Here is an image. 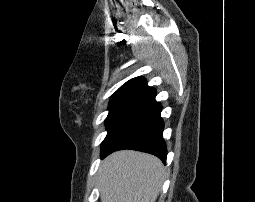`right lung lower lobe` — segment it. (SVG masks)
Here are the masks:
<instances>
[{
  "instance_id": "right-lung-lower-lobe-1",
  "label": "right lung lower lobe",
  "mask_w": 255,
  "mask_h": 202,
  "mask_svg": "<svg viewBox=\"0 0 255 202\" xmlns=\"http://www.w3.org/2000/svg\"><path fill=\"white\" fill-rule=\"evenodd\" d=\"M161 108L155 102L134 115L112 139L101 158L117 150L133 149L153 154L165 163L167 149L162 135Z\"/></svg>"
}]
</instances>
